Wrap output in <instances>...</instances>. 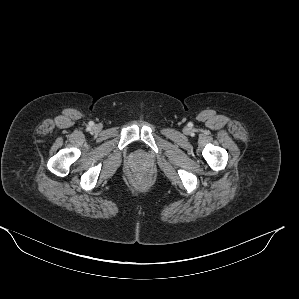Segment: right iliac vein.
Instances as JSON below:
<instances>
[{
  "instance_id": "obj_1",
  "label": "right iliac vein",
  "mask_w": 299,
  "mask_h": 299,
  "mask_svg": "<svg viewBox=\"0 0 299 299\" xmlns=\"http://www.w3.org/2000/svg\"><path fill=\"white\" fill-rule=\"evenodd\" d=\"M94 129H95V130H99V127H98V126H96Z\"/></svg>"
}]
</instances>
